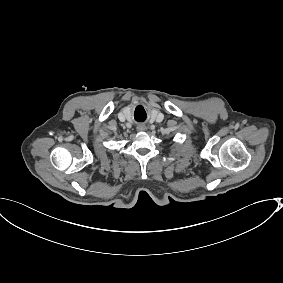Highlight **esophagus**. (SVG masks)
Returning <instances> with one entry per match:
<instances>
[{
    "instance_id": "1",
    "label": "esophagus",
    "mask_w": 283,
    "mask_h": 283,
    "mask_svg": "<svg viewBox=\"0 0 283 283\" xmlns=\"http://www.w3.org/2000/svg\"><path fill=\"white\" fill-rule=\"evenodd\" d=\"M146 130V125L144 124H139L137 126V131L141 132V131H145Z\"/></svg>"
}]
</instances>
